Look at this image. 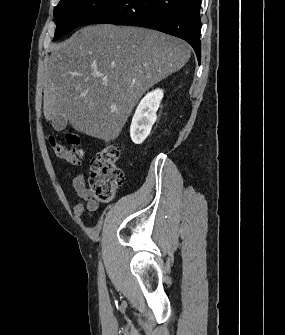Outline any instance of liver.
Here are the masks:
<instances>
[{
  "instance_id": "liver-1",
  "label": "liver",
  "mask_w": 285,
  "mask_h": 335,
  "mask_svg": "<svg viewBox=\"0 0 285 335\" xmlns=\"http://www.w3.org/2000/svg\"><path fill=\"white\" fill-rule=\"evenodd\" d=\"M52 52L44 80L43 112L76 132L116 140L143 94L188 62L183 40L155 30L86 26Z\"/></svg>"
}]
</instances>
